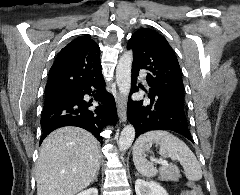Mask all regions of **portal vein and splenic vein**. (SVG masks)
<instances>
[{
  "label": "portal vein and splenic vein",
  "mask_w": 240,
  "mask_h": 195,
  "mask_svg": "<svg viewBox=\"0 0 240 195\" xmlns=\"http://www.w3.org/2000/svg\"><path fill=\"white\" fill-rule=\"evenodd\" d=\"M158 163H162V165H168L167 159H159Z\"/></svg>",
  "instance_id": "obj_1"
}]
</instances>
